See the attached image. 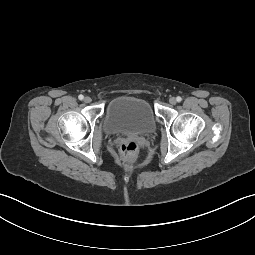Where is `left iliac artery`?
Returning a JSON list of instances; mask_svg holds the SVG:
<instances>
[{"mask_svg": "<svg viewBox=\"0 0 255 255\" xmlns=\"http://www.w3.org/2000/svg\"><path fill=\"white\" fill-rule=\"evenodd\" d=\"M176 100H177V102H181V101H182V98H181L180 96H178V97L176 98Z\"/></svg>", "mask_w": 255, "mask_h": 255, "instance_id": "left-iliac-artery-1", "label": "left iliac artery"}]
</instances>
